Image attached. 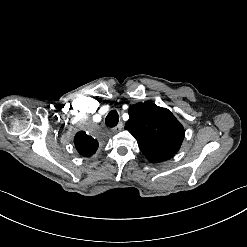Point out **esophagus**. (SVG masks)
Wrapping results in <instances>:
<instances>
[{
	"instance_id": "obj_1",
	"label": "esophagus",
	"mask_w": 247,
	"mask_h": 247,
	"mask_svg": "<svg viewBox=\"0 0 247 247\" xmlns=\"http://www.w3.org/2000/svg\"><path fill=\"white\" fill-rule=\"evenodd\" d=\"M122 128H123V123L120 122L117 126H115V127L112 129V131H113V132H119L120 130H122Z\"/></svg>"
}]
</instances>
